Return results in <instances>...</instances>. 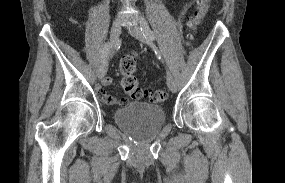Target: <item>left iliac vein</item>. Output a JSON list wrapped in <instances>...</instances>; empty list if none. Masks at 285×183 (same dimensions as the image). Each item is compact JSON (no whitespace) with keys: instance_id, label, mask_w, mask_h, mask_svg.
Masks as SVG:
<instances>
[{"instance_id":"obj_1","label":"left iliac vein","mask_w":285,"mask_h":183,"mask_svg":"<svg viewBox=\"0 0 285 183\" xmlns=\"http://www.w3.org/2000/svg\"><path fill=\"white\" fill-rule=\"evenodd\" d=\"M128 32L133 36L135 37L136 39L142 41V42H146V38L145 36L143 35L140 27L138 25H132V26H129L128 27ZM167 84H168V87L169 89L172 91V92H176L177 90V84H176V81L174 79V77L172 76V74L170 72H168L167 74Z\"/></svg>"}]
</instances>
